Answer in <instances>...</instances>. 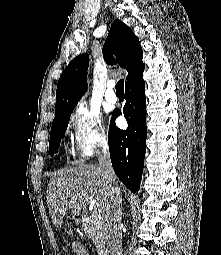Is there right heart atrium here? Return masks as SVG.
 Wrapping results in <instances>:
<instances>
[{"mask_svg": "<svg viewBox=\"0 0 221 255\" xmlns=\"http://www.w3.org/2000/svg\"><path fill=\"white\" fill-rule=\"evenodd\" d=\"M75 147L83 158L91 156L107 142V135L96 110L85 103L78 104L70 117Z\"/></svg>", "mask_w": 221, "mask_h": 255, "instance_id": "d8ad5b80", "label": "right heart atrium"}]
</instances>
